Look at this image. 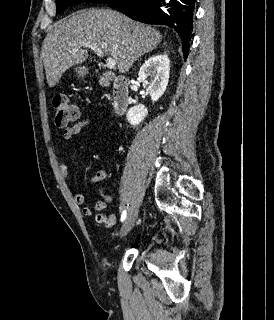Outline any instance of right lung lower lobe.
Instances as JSON below:
<instances>
[{"label":"right lung lower lobe","mask_w":274,"mask_h":320,"mask_svg":"<svg viewBox=\"0 0 274 320\" xmlns=\"http://www.w3.org/2000/svg\"><path fill=\"white\" fill-rule=\"evenodd\" d=\"M195 3L196 0H111L107 5L134 20L173 27L182 40L186 58L192 37Z\"/></svg>","instance_id":"1"}]
</instances>
